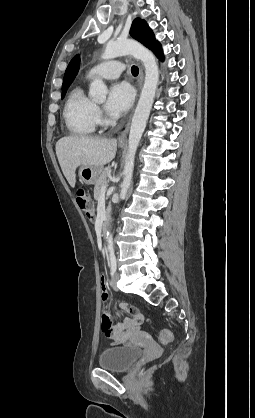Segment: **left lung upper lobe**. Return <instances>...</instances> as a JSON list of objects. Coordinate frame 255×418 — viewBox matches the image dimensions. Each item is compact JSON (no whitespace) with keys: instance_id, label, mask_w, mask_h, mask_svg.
I'll list each match as a JSON object with an SVG mask.
<instances>
[{"instance_id":"1","label":"left lung upper lobe","mask_w":255,"mask_h":418,"mask_svg":"<svg viewBox=\"0 0 255 418\" xmlns=\"http://www.w3.org/2000/svg\"><path fill=\"white\" fill-rule=\"evenodd\" d=\"M130 34L134 39L141 42L152 51L160 45V43L155 40L152 30L148 27L146 22L140 18L133 21Z\"/></svg>"}]
</instances>
